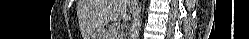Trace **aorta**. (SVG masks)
I'll return each instance as SVG.
<instances>
[{
  "label": "aorta",
  "mask_w": 249,
  "mask_h": 39,
  "mask_svg": "<svg viewBox=\"0 0 249 39\" xmlns=\"http://www.w3.org/2000/svg\"><path fill=\"white\" fill-rule=\"evenodd\" d=\"M146 2V0H143V8H142V11H144V8H145V5H144V3Z\"/></svg>",
  "instance_id": "aorta-1"
}]
</instances>
